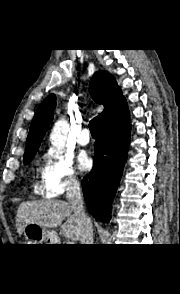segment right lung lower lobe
Masks as SVG:
<instances>
[{
	"label": "right lung lower lobe",
	"mask_w": 180,
	"mask_h": 294,
	"mask_svg": "<svg viewBox=\"0 0 180 294\" xmlns=\"http://www.w3.org/2000/svg\"><path fill=\"white\" fill-rule=\"evenodd\" d=\"M131 123L126 100L107 113L95 142L93 169L83 179L86 205L98 220L109 222L130 142Z\"/></svg>",
	"instance_id": "1"
}]
</instances>
